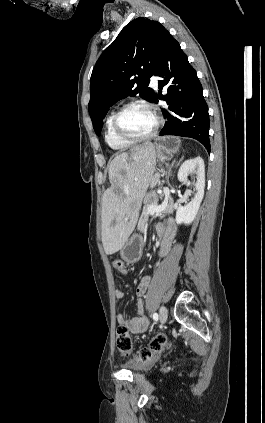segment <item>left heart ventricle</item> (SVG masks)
<instances>
[{"instance_id": "b2bd125f", "label": "left heart ventricle", "mask_w": 265, "mask_h": 423, "mask_svg": "<svg viewBox=\"0 0 265 423\" xmlns=\"http://www.w3.org/2000/svg\"><path fill=\"white\" fill-rule=\"evenodd\" d=\"M155 120L152 114L144 108L134 107L124 113L121 118V127L131 136H143L154 127Z\"/></svg>"}]
</instances>
